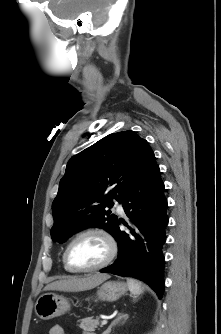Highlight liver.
<instances>
[{"instance_id":"6515ba94","label":"liver","mask_w":221,"mask_h":334,"mask_svg":"<svg viewBox=\"0 0 221 334\" xmlns=\"http://www.w3.org/2000/svg\"><path fill=\"white\" fill-rule=\"evenodd\" d=\"M110 276L108 274L95 273L89 274L84 277H73L70 279L55 281L48 284L44 290H57V291H84L93 289L107 280Z\"/></svg>"}]
</instances>
